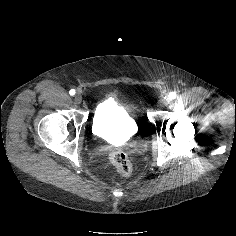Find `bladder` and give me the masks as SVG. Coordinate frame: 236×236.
Returning <instances> with one entry per match:
<instances>
[{"instance_id":"obj_1","label":"bladder","mask_w":236,"mask_h":236,"mask_svg":"<svg viewBox=\"0 0 236 236\" xmlns=\"http://www.w3.org/2000/svg\"><path fill=\"white\" fill-rule=\"evenodd\" d=\"M92 127L98 137L115 139L133 133L136 130V122L123 103L112 99L97 106Z\"/></svg>"}]
</instances>
